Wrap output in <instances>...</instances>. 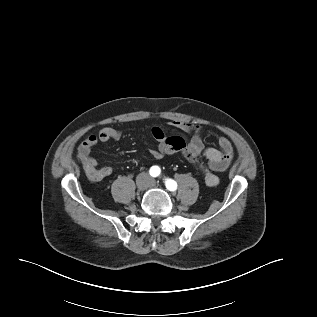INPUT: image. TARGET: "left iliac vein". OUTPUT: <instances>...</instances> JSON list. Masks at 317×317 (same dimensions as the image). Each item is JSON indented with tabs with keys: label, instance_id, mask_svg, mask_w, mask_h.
I'll return each instance as SVG.
<instances>
[{
	"label": "left iliac vein",
	"instance_id": "obj_1",
	"mask_svg": "<svg viewBox=\"0 0 317 317\" xmlns=\"http://www.w3.org/2000/svg\"><path fill=\"white\" fill-rule=\"evenodd\" d=\"M156 186H157L156 181L153 180V179H151V180L149 181V187H156Z\"/></svg>",
	"mask_w": 317,
	"mask_h": 317
}]
</instances>
